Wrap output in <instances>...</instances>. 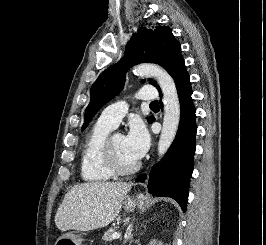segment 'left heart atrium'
I'll list each match as a JSON object with an SVG mask.
<instances>
[{"label": "left heart atrium", "mask_w": 266, "mask_h": 245, "mask_svg": "<svg viewBox=\"0 0 266 245\" xmlns=\"http://www.w3.org/2000/svg\"><path fill=\"white\" fill-rule=\"evenodd\" d=\"M124 138V147L134 161H139L149 145V135L140 121L130 123L129 130Z\"/></svg>", "instance_id": "left-heart-atrium-1"}]
</instances>
